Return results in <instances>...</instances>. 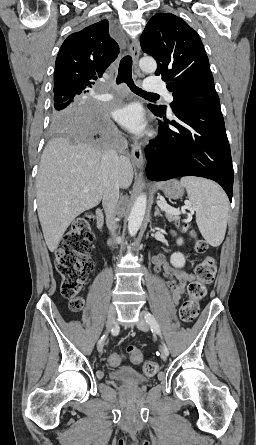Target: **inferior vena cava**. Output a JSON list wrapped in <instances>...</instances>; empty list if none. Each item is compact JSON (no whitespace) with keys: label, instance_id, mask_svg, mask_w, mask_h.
Returning <instances> with one entry per match:
<instances>
[{"label":"inferior vena cava","instance_id":"obj_1","mask_svg":"<svg viewBox=\"0 0 256 445\" xmlns=\"http://www.w3.org/2000/svg\"><path fill=\"white\" fill-rule=\"evenodd\" d=\"M103 201L106 224L115 238L116 209L119 200V157L113 149H108L102 157Z\"/></svg>","mask_w":256,"mask_h":445}]
</instances>
